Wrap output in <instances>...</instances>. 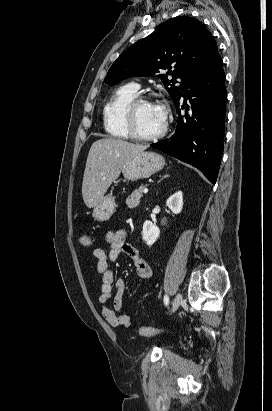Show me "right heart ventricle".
I'll return each mask as SVG.
<instances>
[{
    "instance_id": "1",
    "label": "right heart ventricle",
    "mask_w": 272,
    "mask_h": 411,
    "mask_svg": "<svg viewBox=\"0 0 272 411\" xmlns=\"http://www.w3.org/2000/svg\"><path fill=\"white\" fill-rule=\"evenodd\" d=\"M138 95L131 84L119 87L103 108V122L106 132L112 137L128 138L124 114L128 103Z\"/></svg>"
}]
</instances>
